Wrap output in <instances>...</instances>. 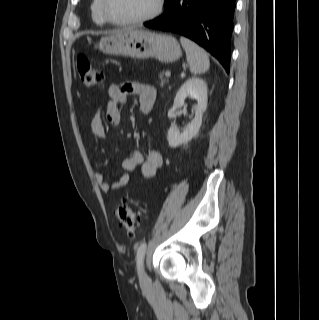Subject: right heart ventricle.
Returning a JSON list of instances; mask_svg holds the SVG:
<instances>
[{"label":"right heart ventricle","mask_w":319,"mask_h":320,"mask_svg":"<svg viewBox=\"0 0 319 320\" xmlns=\"http://www.w3.org/2000/svg\"><path fill=\"white\" fill-rule=\"evenodd\" d=\"M91 13L93 20L98 25H104L107 21L104 19L101 12V0H93L91 4Z\"/></svg>","instance_id":"e07e8e85"}]
</instances>
